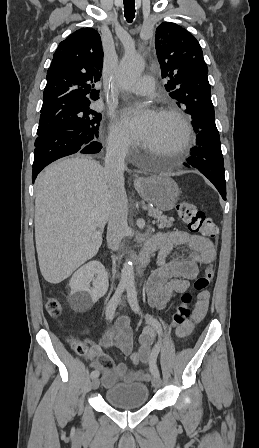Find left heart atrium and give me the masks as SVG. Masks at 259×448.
Listing matches in <instances>:
<instances>
[{"label": "left heart atrium", "instance_id": "39dd6f15", "mask_svg": "<svg viewBox=\"0 0 259 448\" xmlns=\"http://www.w3.org/2000/svg\"><path fill=\"white\" fill-rule=\"evenodd\" d=\"M157 113L153 109L143 111L127 108L121 114L122 126L135 138L140 139L148 128L154 123Z\"/></svg>", "mask_w": 259, "mask_h": 448}]
</instances>
